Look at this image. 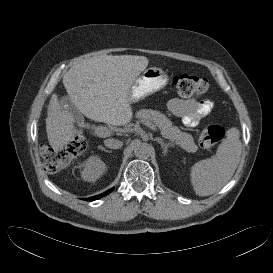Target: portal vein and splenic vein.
<instances>
[{
  "mask_svg": "<svg viewBox=\"0 0 273 273\" xmlns=\"http://www.w3.org/2000/svg\"><path fill=\"white\" fill-rule=\"evenodd\" d=\"M144 125H146L147 127H149L154 132H158L157 127L154 124H152L151 122L146 121L144 123ZM109 133H110V131L106 127H98L96 129V134L99 135V136H101V137L107 136Z\"/></svg>",
  "mask_w": 273,
  "mask_h": 273,
  "instance_id": "obj_1",
  "label": "portal vein and splenic vein"
}]
</instances>
